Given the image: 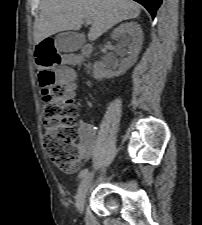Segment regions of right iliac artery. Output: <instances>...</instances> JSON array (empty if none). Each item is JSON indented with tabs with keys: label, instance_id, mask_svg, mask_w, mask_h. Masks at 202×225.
Returning a JSON list of instances; mask_svg holds the SVG:
<instances>
[{
	"label": "right iliac artery",
	"instance_id": "82829eb1",
	"mask_svg": "<svg viewBox=\"0 0 202 225\" xmlns=\"http://www.w3.org/2000/svg\"><path fill=\"white\" fill-rule=\"evenodd\" d=\"M88 173V169H83L80 173H79V178H84Z\"/></svg>",
	"mask_w": 202,
	"mask_h": 225
}]
</instances>
